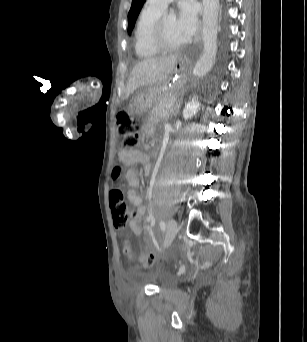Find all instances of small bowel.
<instances>
[{"mask_svg": "<svg viewBox=\"0 0 307 342\" xmlns=\"http://www.w3.org/2000/svg\"><path fill=\"white\" fill-rule=\"evenodd\" d=\"M121 160L128 166H133L137 163L144 165V172L148 174L151 170L148 156L145 152L138 149H127L121 152ZM127 183L130 187L128 191V200L135 208L136 216L130 223V228L133 232H141L140 220L145 213V206L143 205L141 197L137 193L140 186V181L134 170H129L127 173ZM129 249H131L129 247Z\"/></svg>", "mask_w": 307, "mask_h": 342, "instance_id": "small-bowel-1", "label": "small bowel"}]
</instances>
